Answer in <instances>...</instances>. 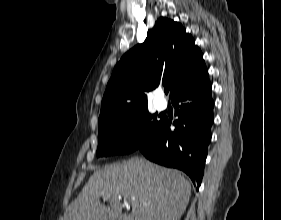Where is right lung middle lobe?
Segmentation results:
<instances>
[{
	"mask_svg": "<svg viewBox=\"0 0 281 220\" xmlns=\"http://www.w3.org/2000/svg\"><path fill=\"white\" fill-rule=\"evenodd\" d=\"M161 122L156 114L144 108L102 123L99 125L97 157L137 150L156 132Z\"/></svg>",
	"mask_w": 281,
	"mask_h": 220,
	"instance_id": "dd1d6c3e",
	"label": "right lung middle lobe"
}]
</instances>
